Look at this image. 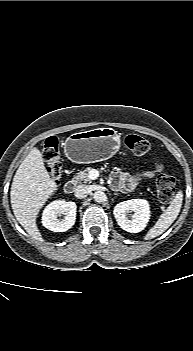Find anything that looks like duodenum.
Instances as JSON below:
<instances>
[{
  "instance_id": "obj_1",
  "label": "duodenum",
  "mask_w": 193,
  "mask_h": 351,
  "mask_svg": "<svg viewBox=\"0 0 193 351\" xmlns=\"http://www.w3.org/2000/svg\"><path fill=\"white\" fill-rule=\"evenodd\" d=\"M64 189L67 193H72L75 189V183L73 181L66 182Z\"/></svg>"
}]
</instances>
